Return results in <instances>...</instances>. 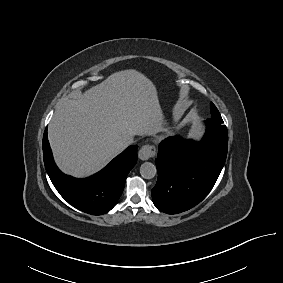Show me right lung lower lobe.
<instances>
[{
  "label": "right lung lower lobe",
  "instance_id": "obj_1",
  "mask_svg": "<svg viewBox=\"0 0 283 283\" xmlns=\"http://www.w3.org/2000/svg\"><path fill=\"white\" fill-rule=\"evenodd\" d=\"M137 148V145L128 147L93 176L76 179L57 168L48 142L47 129L43 136L44 164L56 190L72 206L92 215L105 214L116 205L126 177L137 162Z\"/></svg>",
  "mask_w": 283,
  "mask_h": 283
}]
</instances>
